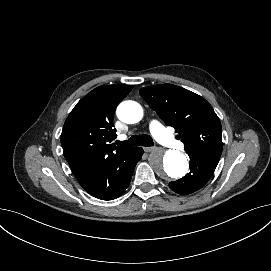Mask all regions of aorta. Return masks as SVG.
I'll list each match as a JSON object with an SVG mask.
<instances>
[{
  "instance_id": "aorta-1",
  "label": "aorta",
  "mask_w": 271,
  "mask_h": 271,
  "mask_svg": "<svg viewBox=\"0 0 271 271\" xmlns=\"http://www.w3.org/2000/svg\"><path fill=\"white\" fill-rule=\"evenodd\" d=\"M118 118L127 124L139 122L143 117L141 105L135 101H124L117 108ZM152 169L162 178H181L189 169L186 156L177 150H155L149 155Z\"/></svg>"
}]
</instances>
